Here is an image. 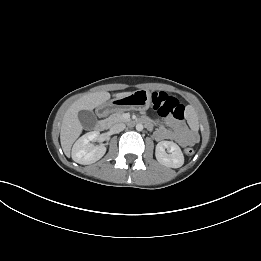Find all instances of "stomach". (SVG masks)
Masks as SVG:
<instances>
[{"label": "stomach", "instance_id": "obj_1", "mask_svg": "<svg viewBox=\"0 0 261 261\" xmlns=\"http://www.w3.org/2000/svg\"><path fill=\"white\" fill-rule=\"evenodd\" d=\"M151 105V93L148 90L140 89L123 97H115L114 99L102 104L99 110L103 114H109L115 111L125 110H147Z\"/></svg>", "mask_w": 261, "mask_h": 261}]
</instances>
